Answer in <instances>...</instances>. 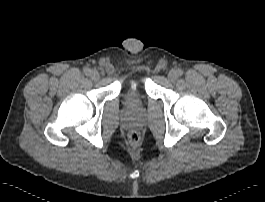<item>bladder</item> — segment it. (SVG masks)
Wrapping results in <instances>:
<instances>
[{"mask_svg":"<svg viewBox=\"0 0 265 202\" xmlns=\"http://www.w3.org/2000/svg\"><path fill=\"white\" fill-rule=\"evenodd\" d=\"M142 93L137 87L129 88L124 94V101L127 105H133L142 100Z\"/></svg>","mask_w":265,"mask_h":202,"instance_id":"obj_1","label":"bladder"}]
</instances>
